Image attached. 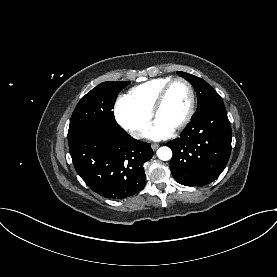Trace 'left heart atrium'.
<instances>
[{"mask_svg": "<svg viewBox=\"0 0 277 277\" xmlns=\"http://www.w3.org/2000/svg\"><path fill=\"white\" fill-rule=\"evenodd\" d=\"M173 129L161 121H156L154 126L150 129L147 137L152 140H161L168 137Z\"/></svg>", "mask_w": 277, "mask_h": 277, "instance_id": "39dd6f15", "label": "left heart atrium"}]
</instances>
